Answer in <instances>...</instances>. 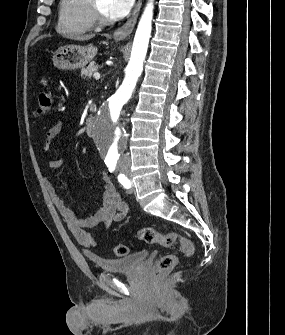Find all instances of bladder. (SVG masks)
Returning a JSON list of instances; mask_svg holds the SVG:
<instances>
[{"instance_id":"bladder-1","label":"bladder","mask_w":285,"mask_h":335,"mask_svg":"<svg viewBox=\"0 0 285 335\" xmlns=\"http://www.w3.org/2000/svg\"><path fill=\"white\" fill-rule=\"evenodd\" d=\"M148 258V251L141 249L129 255L111 258H93V265H97L106 273H134L140 265L145 264Z\"/></svg>"}]
</instances>
